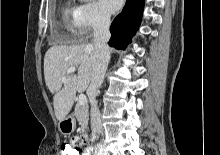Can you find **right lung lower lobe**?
Masks as SVG:
<instances>
[{
  "label": "right lung lower lobe",
  "instance_id": "obj_1",
  "mask_svg": "<svg viewBox=\"0 0 220 155\" xmlns=\"http://www.w3.org/2000/svg\"><path fill=\"white\" fill-rule=\"evenodd\" d=\"M144 0H126L122 12L111 24L109 45L116 49H125L140 25Z\"/></svg>",
  "mask_w": 220,
  "mask_h": 155
}]
</instances>
